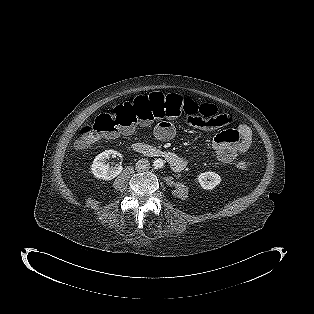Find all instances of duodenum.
<instances>
[{"label": "duodenum", "mask_w": 314, "mask_h": 314, "mask_svg": "<svg viewBox=\"0 0 314 314\" xmlns=\"http://www.w3.org/2000/svg\"><path fill=\"white\" fill-rule=\"evenodd\" d=\"M132 149L147 156L162 157L174 170L181 171L185 167V161L172 151L155 148L144 142L133 143Z\"/></svg>", "instance_id": "410a0bca"}]
</instances>
